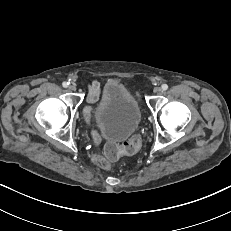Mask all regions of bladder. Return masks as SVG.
<instances>
[{"instance_id": "1", "label": "bladder", "mask_w": 231, "mask_h": 231, "mask_svg": "<svg viewBox=\"0 0 231 231\" xmlns=\"http://www.w3.org/2000/svg\"><path fill=\"white\" fill-rule=\"evenodd\" d=\"M94 120L104 137L124 140L141 122L142 110L136 98L122 82L108 80L93 111Z\"/></svg>"}]
</instances>
